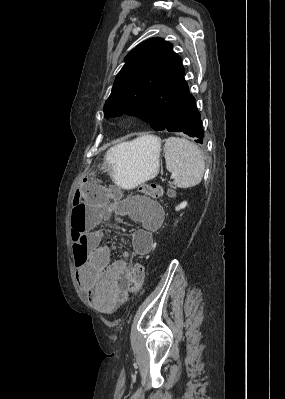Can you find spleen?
Listing matches in <instances>:
<instances>
[{
  "label": "spleen",
  "instance_id": "spleen-1",
  "mask_svg": "<svg viewBox=\"0 0 285 399\" xmlns=\"http://www.w3.org/2000/svg\"><path fill=\"white\" fill-rule=\"evenodd\" d=\"M166 168L179 188L198 185L203 177L205 162L200 149L185 138L169 137L165 143Z\"/></svg>",
  "mask_w": 285,
  "mask_h": 399
}]
</instances>
